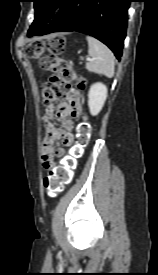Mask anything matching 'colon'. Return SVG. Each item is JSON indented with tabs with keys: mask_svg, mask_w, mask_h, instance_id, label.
Instances as JSON below:
<instances>
[{
	"mask_svg": "<svg viewBox=\"0 0 158 275\" xmlns=\"http://www.w3.org/2000/svg\"><path fill=\"white\" fill-rule=\"evenodd\" d=\"M65 39L61 35L52 36L45 41L35 40L25 47L27 55L39 61L41 68L51 74V78L42 86V97L46 107L52 106L70 88L69 81L73 75L72 65L66 58L62 57ZM49 52L46 55L44 52ZM85 80L78 77L76 89H85ZM91 134L90 124L86 121L78 126L77 144L72 154L63 162L54 167L43 178V187L50 196L62 192L71 182L76 166V159L80 157L84 147L87 145Z\"/></svg>",
	"mask_w": 158,
	"mask_h": 275,
	"instance_id": "5ec220e1",
	"label": "colon"
}]
</instances>
